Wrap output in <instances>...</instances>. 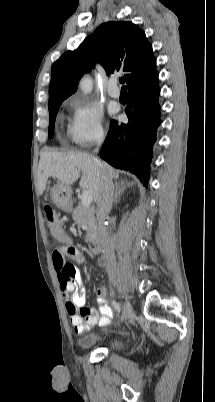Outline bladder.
<instances>
[{"instance_id":"1","label":"bladder","mask_w":215,"mask_h":402,"mask_svg":"<svg viewBox=\"0 0 215 402\" xmlns=\"http://www.w3.org/2000/svg\"><path fill=\"white\" fill-rule=\"evenodd\" d=\"M77 344L82 349H93L96 347H104L110 351H118L122 349L124 345L123 341L120 338L111 337L103 339L93 333H89L78 338Z\"/></svg>"}]
</instances>
